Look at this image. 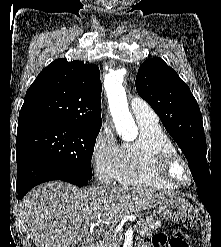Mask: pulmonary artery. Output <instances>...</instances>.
Segmentation results:
<instances>
[{"label":"pulmonary artery","mask_w":221,"mask_h":247,"mask_svg":"<svg viewBox=\"0 0 221 247\" xmlns=\"http://www.w3.org/2000/svg\"><path fill=\"white\" fill-rule=\"evenodd\" d=\"M132 113L138 123L156 124L158 116L152 108L141 98L133 97L130 101Z\"/></svg>","instance_id":"1"}]
</instances>
